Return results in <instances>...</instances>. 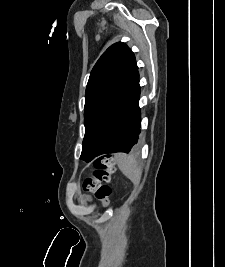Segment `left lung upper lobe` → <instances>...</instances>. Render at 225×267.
Listing matches in <instances>:
<instances>
[{"label":"left lung upper lobe","mask_w":225,"mask_h":267,"mask_svg":"<svg viewBox=\"0 0 225 267\" xmlns=\"http://www.w3.org/2000/svg\"><path fill=\"white\" fill-rule=\"evenodd\" d=\"M137 69L133 52L122 42L111 45L93 67L85 92V136L81 160L89 162L98 156Z\"/></svg>","instance_id":"obj_1"}]
</instances>
